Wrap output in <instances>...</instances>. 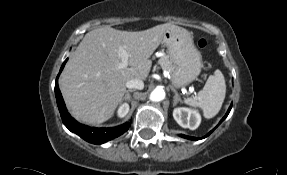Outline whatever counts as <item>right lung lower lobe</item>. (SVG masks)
Wrapping results in <instances>:
<instances>
[{
    "mask_svg": "<svg viewBox=\"0 0 287 175\" xmlns=\"http://www.w3.org/2000/svg\"><path fill=\"white\" fill-rule=\"evenodd\" d=\"M67 59L61 66L60 72L62 71ZM55 96L57 100L58 109L64 125L73 133L79 135L82 139L93 144H102L110 141L124 132H126L130 126V122L125 124L112 127V128H94L78 123L68 113L65 103L63 101L61 92L58 87V77L55 83Z\"/></svg>",
    "mask_w": 287,
    "mask_h": 175,
    "instance_id": "right-lung-lower-lobe-1",
    "label": "right lung lower lobe"
}]
</instances>
